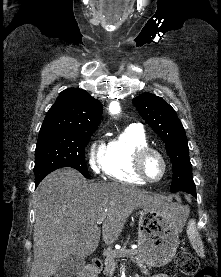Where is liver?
<instances>
[{"label": "liver", "instance_id": "1", "mask_svg": "<svg viewBox=\"0 0 221 277\" xmlns=\"http://www.w3.org/2000/svg\"><path fill=\"white\" fill-rule=\"evenodd\" d=\"M160 197L118 183H89L76 170L64 168L46 176L35 192L34 260L30 277H51L71 255L87 257L96 250L102 225L104 242H115L137 208H163Z\"/></svg>", "mask_w": 221, "mask_h": 277}]
</instances>
